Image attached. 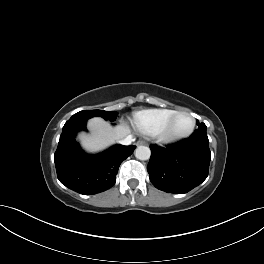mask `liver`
I'll return each mask as SVG.
<instances>
[{
	"label": "liver",
	"instance_id": "obj_1",
	"mask_svg": "<svg viewBox=\"0 0 264 264\" xmlns=\"http://www.w3.org/2000/svg\"><path fill=\"white\" fill-rule=\"evenodd\" d=\"M88 127L90 134L80 133L78 138L82 147L89 152L102 150L130 132L127 126L119 125L113 128L100 117L90 119Z\"/></svg>",
	"mask_w": 264,
	"mask_h": 264
}]
</instances>
